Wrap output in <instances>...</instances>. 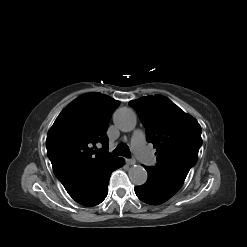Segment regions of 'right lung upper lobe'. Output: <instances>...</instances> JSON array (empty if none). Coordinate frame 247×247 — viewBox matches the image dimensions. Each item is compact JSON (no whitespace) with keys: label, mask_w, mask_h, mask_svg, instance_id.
Listing matches in <instances>:
<instances>
[{"label":"right lung upper lobe","mask_w":247,"mask_h":247,"mask_svg":"<svg viewBox=\"0 0 247 247\" xmlns=\"http://www.w3.org/2000/svg\"><path fill=\"white\" fill-rule=\"evenodd\" d=\"M119 102L101 93H87L72 101L47 134V155L67 192L109 166L106 131ZM103 145L98 149V145Z\"/></svg>","instance_id":"obj_1"}]
</instances>
